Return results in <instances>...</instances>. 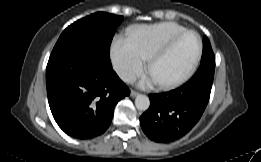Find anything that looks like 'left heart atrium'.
I'll use <instances>...</instances> for the list:
<instances>
[{
  "label": "left heart atrium",
  "instance_id": "left-heart-atrium-1",
  "mask_svg": "<svg viewBox=\"0 0 261 162\" xmlns=\"http://www.w3.org/2000/svg\"><path fill=\"white\" fill-rule=\"evenodd\" d=\"M153 82H156L151 76H149L148 78L144 79L141 84L142 85H148V84H151Z\"/></svg>",
  "mask_w": 261,
  "mask_h": 162
}]
</instances>
